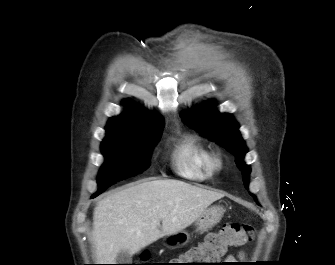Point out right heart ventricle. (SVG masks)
Instances as JSON below:
<instances>
[{"label":"right heart ventricle","instance_id":"obj_1","mask_svg":"<svg viewBox=\"0 0 335 265\" xmlns=\"http://www.w3.org/2000/svg\"><path fill=\"white\" fill-rule=\"evenodd\" d=\"M171 157L175 172L185 179L203 182L215 173L212 153L196 135H184L174 146Z\"/></svg>","mask_w":335,"mask_h":265}]
</instances>
